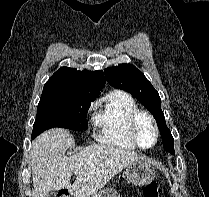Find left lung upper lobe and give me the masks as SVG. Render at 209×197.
Returning a JSON list of instances; mask_svg holds the SVG:
<instances>
[{"mask_svg":"<svg viewBox=\"0 0 209 197\" xmlns=\"http://www.w3.org/2000/svg\"><path fill=\"white\" fill-rule=\"evenodd\" d=\"M105 78L115 88L131 93L154 116L166 151L174 153V139L165 124L161 99L144 74L131 64H121L104 70Z\"/></svg>","mask_w":209,"mask_h":197,"instance_id":"left-lung-upper-lobe-1","label":"left lung upper lobe"}]
</instances>
